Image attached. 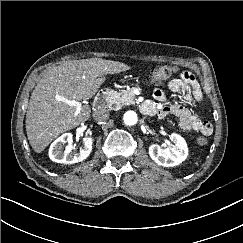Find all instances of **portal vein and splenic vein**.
Here are the masks:
<instances>
[{
	"mask_svg": "<svg viewBox=\"0 0 243 243\" xmlns=\"http://www.w3.org/2000/svg\"><path fill=\"white\" fill-rule=\"evenodd\" d=\"M66 101V103L68 104V105H70V106H75V107H77V109L79 110L80 108H81V102H79V101H75V100H65Z\"/></svg>",
	"mask_w": 243,
	"mask_h": 243,
	"instance_id": "obj_1",
	"label": "portal vein and splenic vein"
}]
</instances>
